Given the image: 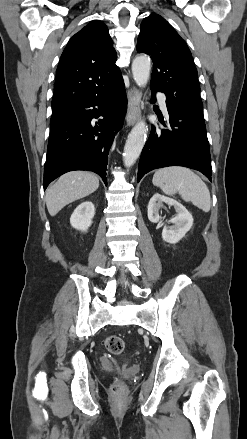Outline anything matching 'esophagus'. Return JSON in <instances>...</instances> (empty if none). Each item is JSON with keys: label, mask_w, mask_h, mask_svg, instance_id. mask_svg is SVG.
<instances>
[{"label": "esophagus", "mask_w": 247, "mask_h": 439, "mask_svg": "<svg viewBox=\"0 0 247 439\" xmlns=\"http://www.w3.org/2000/svg\"><path fill=\"white\" fill-rule=\"evenodd\" d=\"M142 99L141 93L136 87H131L128 92V111L126 121L128 126H132L140 118Z\"/></svg>", "instance_id": "1"}]
</instances>
